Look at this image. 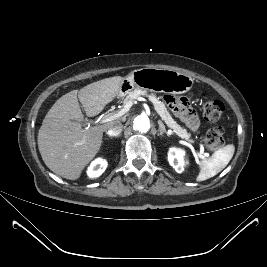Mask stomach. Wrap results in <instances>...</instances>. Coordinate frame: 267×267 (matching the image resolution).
<instances>
[{
	"instance_id": "obj_1",
	"label": "stomach",
	"mask_w": 267,
	"mask_h": 267,
	"mask_svg": "<svg viewBox=\"0 0 267 267\" xmlns=\"http://www.w3.org/2000/svg\"><path fill=\"white\" fill-rule=\"evenodd\" d=\"M193 85V79L170 69L141 68L131 72L121 83L118 97L123 98L133 89L170 94H183Z\"/></svg>"
}]
</instances>
